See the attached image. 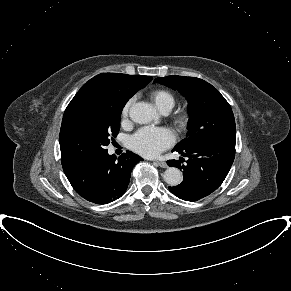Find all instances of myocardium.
I'll list each match as a JSON object with an SVG mask.
<instances>
[{"label": "myocardium", "mask_w": 291, "mask_h": 291, "mask_svg": "<svg viewBox=\"0 0 291 291\" xmlns=\"http://www.w3.org/2000/svg\"><path fill=\"white\" fill-rule=\"evenodd\" d=\"M190 120L191 115L187 110L178 111L172 116V123L179 132L188 128Z\"/></svg>", "instance_id": "f54148a6"}]
</instances>
